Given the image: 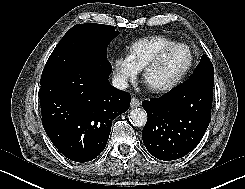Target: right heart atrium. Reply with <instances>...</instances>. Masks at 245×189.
Listing matches in <instances>:
<instances>
[{
    "label": "right heart atrium",
    "instance_id": "right-heart-atrium-1",
    "mask_svg": "<svg viewBox=\"0 0 245 189\" xmlns=\"http://www.w3.org/2000/svg\"><path fill=\"white\" fill-rule=\"evenodd\" d=\"M112 69L114 77L121 87H126L138 75V70L131 64L127 57L115 58L112 62Z\"/></svg>",
    "mask_w": 245,
    "mask_h": 189
}]
</instances>
